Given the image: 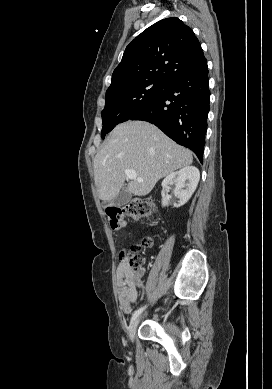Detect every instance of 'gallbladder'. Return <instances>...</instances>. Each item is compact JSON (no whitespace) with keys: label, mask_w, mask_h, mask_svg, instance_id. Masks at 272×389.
<instances>
[{"label":"gallbladder","mask_w":272,"mask_h":389,"mask_svg":"<svg viewBox=\"0 0 272 389\" xmlns=\"http://www.w3.org/2000/svg\"><path fill=\"white\" fill-rule=\"evenodd\" d=\"M131 193L128 191L127 187H123L120 192L115 196V198L110 202L109 205L120 207L131 200Z\"/></svg>","instance_id":"1"}]
</instances>
